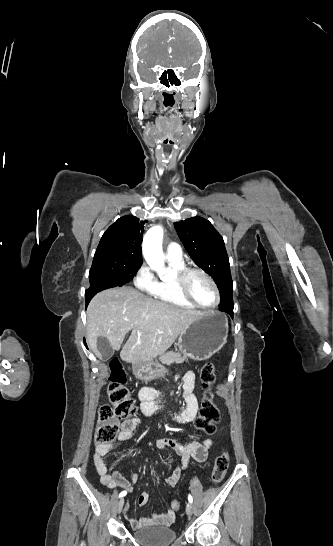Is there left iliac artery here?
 <instances>
[{"label": "left iliac artery", "instance_id": "left-iliac-artery-1", "mask_svg": "<svg viewBox=\"0 0 333 546\" xmlns=\"http://www.w3.org/2000/svg\"><path fill=\"white\" fill-rule=\"evenodd\" d=\"M188 501H189L190 503L193 502V498H192L191 494L188 495Z\"/></svg>", "mask_w": 333, "mask_h": 546}]
</instances>
